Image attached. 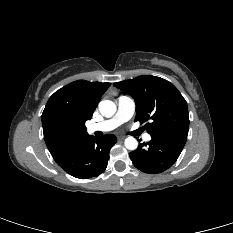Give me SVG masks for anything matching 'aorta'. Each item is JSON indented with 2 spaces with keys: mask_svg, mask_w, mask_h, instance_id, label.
Segmentation results:
<instances>
[{
  "mask_svg": "<svg viewBox=\"0 0 233 233\" xmlns=\"http://www.w3.org/2000/svg\"><path fill=\"white\" fill-rule=\"evenodd\" d=\"M116 110L117 107L115 103L110 100H103L99 103V111L104 117H112ZM124 144L128 150H135L138 147V141L133 137L126 138Z\"/></svg>",
  "mask_w": 233,
  "mask_h": 233,
  "instance_id": "obj_1",
  "label": "aorta"
}]
</instances>
